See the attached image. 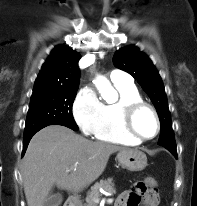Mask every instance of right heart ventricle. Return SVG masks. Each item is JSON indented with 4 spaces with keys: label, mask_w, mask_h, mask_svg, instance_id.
I'll return each mask as SVG.
<instances>
[{
    "label": "right heart ventricle",
    "mask_w": 197,
    "mask_h": 206,
    "mask_svg": "<svg viewBox=\"0 0 197 206\" xmlns=\"http://www.w3.org/2000/svg\"><path fill=\"white\" fill-rule=\"evenodd\" d=\"M115 84V83H114ZM120 98L115 103L102 104L101 115L94 130L98 140L124 145H137L139 142L128 136L120 123V106L125 102L142 100L134 84H115Z\"/></svg>",
    "instance_id": "obj_1"
}]
</instances>
